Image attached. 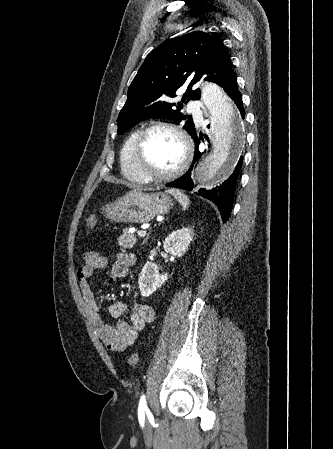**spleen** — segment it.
<instances>
[{
    "label": "spleen",
    "instance_id": "spleen-1",
    "mask_svg": "<svg viewBox=\"0 0 333 449\" xmlns=\"http://www.w3.org/2000/svg\"><path fill=\"white\" fill-rule=\"evenodd\" d=\"M167 192L174 196V198L181 204L183 210H186L189 207L190 199L183 193V191L172 188L168 189Z\"/></svg>",
    "mask_w": 333,
    "mask_h": 449
}]
</instances>
